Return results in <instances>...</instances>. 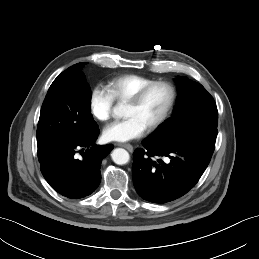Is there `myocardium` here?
<instances>
[{
    "mask_svg": "<svg viewBox=\"0 0 259 259\" xmlns=\"http://www.w3.org/2000/svg\"><path fill=\"white\" fill-rule=\"evenodd\" d=\"M157 86L165 87L168 91L169 96H168L167 104H166L163 112L161 113V115L146 128L148 131H153V130H156L157 128H159L170 115V113L175 105L176 98H177V91H176L175 86L172 83H170L168 81H164V80L153 81L152 83H150V84L146 85L145 87H143L142 89H140L131 98H129L126 101L127 105L137 106L143 101V99L149 93V91Z\"/></svg>",
    "mask_w": 259,
    "mask_h": 259,
    "instance_id": "f54148a6",
    "label": "myocardium"
}]
</instances>
